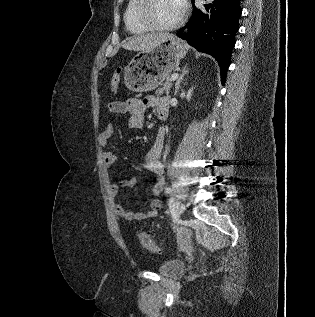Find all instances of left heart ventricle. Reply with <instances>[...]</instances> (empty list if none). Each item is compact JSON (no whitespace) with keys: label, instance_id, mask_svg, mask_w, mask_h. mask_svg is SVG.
<instances>
[{"label":"left heart ventricle","instance_id":"left-heart-ventricle-1","mask_svg":"<svg viewBox=\"0 0 315 317\" xmlns=\"http://www.w3.org/2000/svg\"><path fill=\"white\" fill-rule=\"evenodd\" d=\"M182 11L175 0H154L151 17L157 24L168 25L180 17Z\"/></svg>","mask_w":315,"mask_h":317}]
</instances>
